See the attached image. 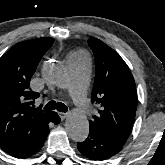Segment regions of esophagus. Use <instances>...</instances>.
<instances>
[{"label": "esophagus", "mask_w": 165, "mask_h": 165, "mask_svg": "<svg viewBox=\"0 0 165 165\" xmlns=\"http://www.w3.org/2000/svg\"><path fill=\"white\" fill-rule=\"evenodd\" d=\"M59 116H60L61 120H64V119L67 118L68 114L67 113L59 112Z\"/></svg>", "instance_id": "esophagus-1"}]
</instances>
